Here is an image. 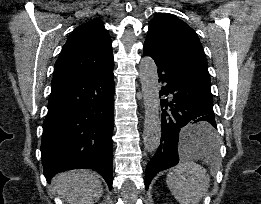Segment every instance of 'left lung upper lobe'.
Listing matches in <instances>:
<instances>
[{
  "instance_id": "obj_1",
  "label": "left lung upper lobe",
  "mask_w": 261,
  "mask_h": 204,
  "mask_svg": "<svg viewBox=\"0 0 261 204\" xmlns=\"http://www.w3.org/2000/svg\"><path fill=\"white\" fill-rule=\"evenodd\" d=\"M145 44L210 79L207 59L196 32L177 17L168 13L155 16L149 24Z\"/></svg>"
}]
</instances>
